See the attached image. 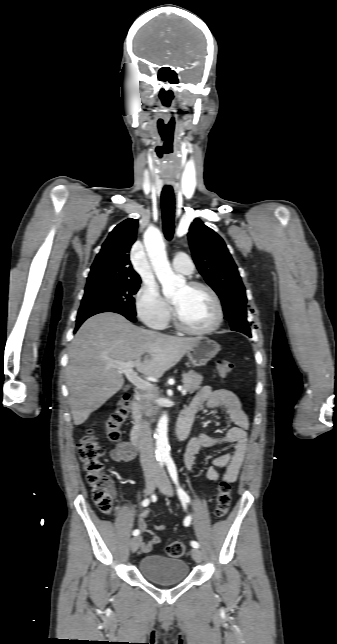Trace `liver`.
Masks as SVG:
<instances>
[{"instance_id": "1", "label": "liver", "mask_w": 337, "mask_h": 644, "mask_svg": "<svg viewBox=\"0 0 337 644\" xmlns=\"http://www.w3.org/2000/svg\"><path fill=\"white\" fill-rule=\"evenodd\" d=\"M197 341L144 330L116 313L87 319L70 345L66 368L74 424L84 423L122 388V372L111 366L113 362L133 361L143 376L160 378Z\"/></svg>"}]
</instances>
